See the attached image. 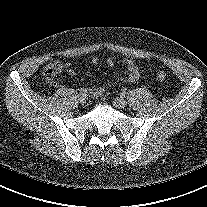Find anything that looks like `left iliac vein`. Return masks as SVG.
I'll return each mask as SVG.
<instances>
[{"label": "left iliac vein", "instance_id": "4c4485c4", "mask_svg": "<svg viewBox=\"0 0 207 207\" xmlns=\"http://www.w3.org/2000/svg\"><path fill=\"white\" fill-rule=\"evenodd\" d=\"M113 104L116 108L122 109L127 105V102L123 98H116L114 99Z\"/></svg>", "mask_w": 207, "mask_h": 207}]
</instances>
